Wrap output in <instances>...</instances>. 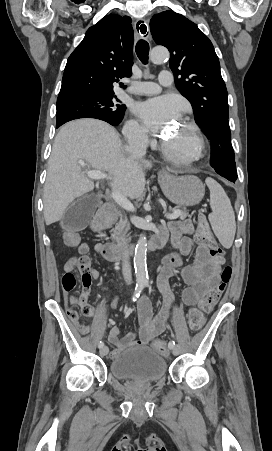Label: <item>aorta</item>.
I'll list each match as a JSON object with an SVG mask.
<instances>
[{"label": "aorta", "instance_id": "obj_1", "mask_svg": "<svg viewBox=\"0 0 272 451\" xmlns=\"http://www.w3.org/2000/svg\"><path fill=\"white\" fill-rule=\"evenodd\" d=\"M149 60L153 64H165L169 60V52L167 48H153L149 54ZM147 255V237L141 235L139 237L134 251V267L137 281H147L148 271L146 257Z\"/></svg>", "mask_w": 272, "mask_h": 451}]
</instances>
